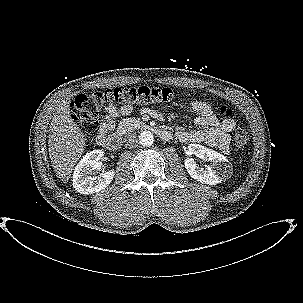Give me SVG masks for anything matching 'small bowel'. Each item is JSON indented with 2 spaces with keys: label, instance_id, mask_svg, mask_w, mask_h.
Masks as SVG:
<instances>
[{
  "label": "small bowel",
  "instance_id": "obj_1",
  "mask_svg": "<svg viewBox=\"0 0 303 303\" xmlns=\"http://www.w3.org/2000/svg\"><path fill=\"white\" fill-rule=\"evenodd\" d=\"M189 105L198 114L195 118V124L204 130H179L175 133L177 139L184 143L205 142L209 146L218 147L221 151L228 152L229 132L236 126V121L232 118L220 121L207 102L195 100L191 101ZM131 111V106L107 107L100 123L99 137L107 135L113 129L117 117L126 115ZM141 113L147 116H159L149 108H143Z\"/></svg>",
  "mask_w": 303,
  "mask_h": 303
}]
</instances>
